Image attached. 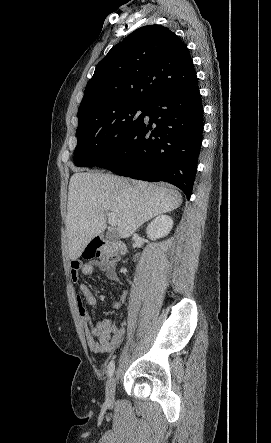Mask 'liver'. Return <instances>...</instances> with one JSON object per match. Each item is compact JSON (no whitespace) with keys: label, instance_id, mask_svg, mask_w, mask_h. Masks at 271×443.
Returning a JSON list of instances; mask_svg holds the SVG:
<instances>
[{"label":"liver","instance_id":"6515ba94","mask_svg":"<svg viewBox=\"0 0 271 443\" xmlns=\"http://www.w3.org/2000/svg\"><path fill=\"white\" fill-rule=\"evenodd\" d=\"M181 204L177 190L112 174H73L66 216L69 257L78 259L89 241L105 231L106 212L116 216L118 235L130 237L143 223Z\"/></svg>","mask_w":271,"mask_h":443}]
</instances>
